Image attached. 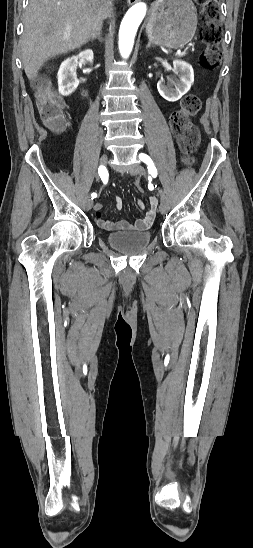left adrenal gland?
<instances>
[{"instance_id":"1","label":"left adrenal gland","mask_w":253,"mask_h":548,"mask_svg":"<svg viewBox=\"0 0 253 548\" xmlns=\"http://www.w3.org/2000/svg\"><path fill=\"white\" fill-rule=\"evenodd\" d=\"M150 47H152L151 41L147 44L146 48L148 49V48H150Z\"/></svg>"}]
</instances>
